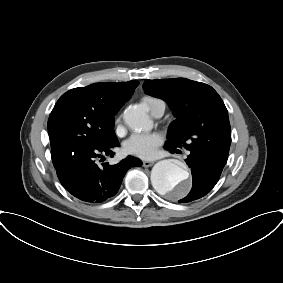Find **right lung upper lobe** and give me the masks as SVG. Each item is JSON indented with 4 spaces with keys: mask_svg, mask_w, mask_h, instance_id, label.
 <instances>
[{
    "mask_svg": "<svg viewBox=\"0 0 283 283\" xmlns=\"http://www.w3.org/2000/svg\"><path fill=\"white\" fill-rule=\"evenodd\" d=\"M138 81L119 83H95L86 87L72 89L79 97L98 112L103 118H114V115L127 102L134 89L138 86Z\"/></svg>",
    "mask_w": 283,
    "mask_h": 283,
    "instance_id": "obj_1",
    "label": "right lung upper lobe"
}]
</instances>
